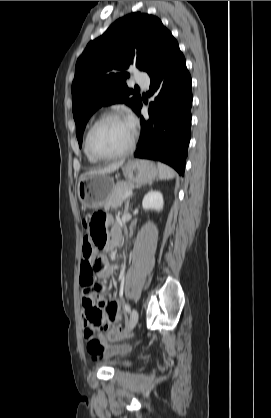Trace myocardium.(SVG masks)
<instances>
[{
    "instance_id": "myocardium-1",
    "label": "myocardium",
    "mask_w": 271,
    "mask_h": 418,
    "mask_svg": "<svg viewBox=\"0 0 271 418\" xmlns=\"http://www.w3.org/2000/svg\"><path fill=\"white\" fill-rule=\"evenodd\" d=\"M109 119H125L124 115L119 113V112H108L103 114L102 116H100L89 128L87 134H86V138H85V147L87 152L95 159L97 160H112V159H117V158H121L123 156H126L127 154H129L135 144L136 141V131L133 129L132 132V136L130 138V141L128 143V145L121 150L120 152L114 153V154H108V155H102V154H98L96 153L92 147H91V135L93 133V131L95 130V128L101 124L102 122L109 120Z\"/></svg>"
}]
</instances>
